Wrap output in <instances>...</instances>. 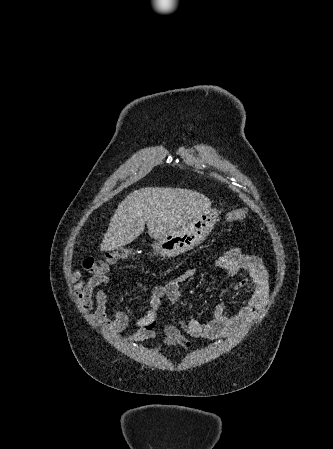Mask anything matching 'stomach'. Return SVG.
<instances>
[{
    "label": "stomach",
    "instance_id": "1",
    "mask_svg": "<svg viewBox=\"0 0 333 449\" xmlns=\"http://www.w3.org/2000/svg\"><path fill=\"white\" fill-rule=\"evenodd\" d=\"M218 220L217 210L209 207L176 231L155 239L152 248L161 256L185 253L205 240Z\"/></svg>",
    "mask_w": 333,
    "mask_h": 449
}]
</instances>
